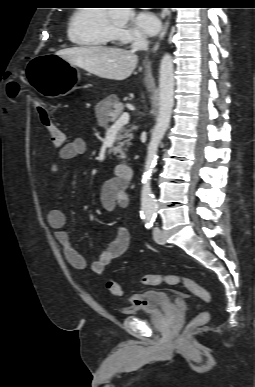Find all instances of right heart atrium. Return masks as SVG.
Returning <instances> with one entry per match:
<instances>
[{"mask_svg":"<svg viewBox=\"0 0 255 387\" xmlns=\"http://www.w3.org/2000/svg\"><path fill=\"white\" fill-rule=\"evenodd\" d=\"M114 37H115V40L121 43H129L132 41H138L142 39V37L139 34L123 27H115Z\"/></svg>","mask_w":255,"mask_h":387,"instance_id":"1","label":"right heart atrium"}]
</instances>
